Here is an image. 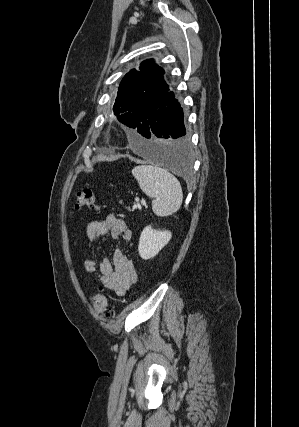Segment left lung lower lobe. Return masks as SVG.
<instances>
[{"label":"left lung lower lobe","instance_id":"0a47b994","mask_svg":"<svg viewBox=\"0 0 299 427\" xmlns=\"http://www.w3.org/2000/svg\"><path fill=\"white\" fill-rule=\"evenodd\" d=\"M141 115L135 128L149 139L139 145L138 151L149 160L176 172L190 170L189 134L183 122V110L174 93L161 103L139 110Z\"/></svg>","mask_w":299,"mask_h":427}]
</instances>
